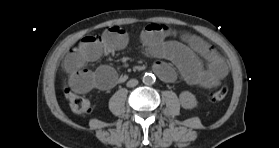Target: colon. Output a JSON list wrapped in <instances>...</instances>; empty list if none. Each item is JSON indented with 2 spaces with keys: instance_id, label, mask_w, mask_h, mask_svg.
<instances>
[{
  "instance_id": "colon-1",
  "label": "colon",
  "mask_w": 279,
  "mask_h": 148,
  "mask_svg": "<svg viewBox=\"0 0 279 148\" xmlns=\"http://www.w3.org/2000/svg\"><path fill=\"white\" fill-rule=\"evenodd\" d=\"M227 92V87L221 86L211 92L210 98L212 101H221L226 97ZM67 98L71 111L76 115L82 116L90 112V102L84 96L67 91Z\"/></svg>"
}]
</instances>
